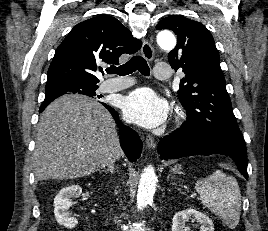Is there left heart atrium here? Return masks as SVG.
Returning a JSON list of instances; mask_svg holds the SVG:
<instances>
[{
  "label": "left heart atrium",
  "mask_w": 268,
  "mask_h": 231,
  "mask_svg": "<svg viewBox=\"0 0 268 231\" xmlns=\"http://www.w3.org/2000/svg\"><path fill=\"white\" fill-rule=\"evenodd\" d=\"M123 112L127 121L153 128L164 122L168 107L153 90L140 88L125 97Z\"/></svg>",
  "instance_id": "39dd6f15"
}]
</instances>
